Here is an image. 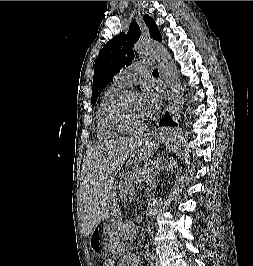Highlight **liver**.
<instances>
[{
  "label": "liver",
  "mask_w": 253,
  "mask_h": 266,
  "mask_svg": "<svg viewBox=\"0 0 253 266\" xmlns=\"http://www.w3.org/2000/svg\"><path fill=\"white\" fill-rule=\"evenodd\" d=\"M145 137H127L91 146L83 163L82 225L89 236L102 221L113 191L115 177L135 154Z\"/></svg>",
  "instance_id": "obj_1"
}]
</instances>
